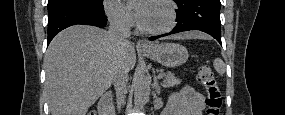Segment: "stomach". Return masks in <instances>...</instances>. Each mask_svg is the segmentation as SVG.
Segmentation results:
<instances>
[{"mask_svg":"<svg viewBox=\"0 0 285 115\" xmlns=\"http://www.w3.org/2000/svg\"><path fill=\"white\" fill-rule=\"evenodd\" d=\"M142 53L168 68L184 64L189 56L187 49L176 43L156 44L151 50H143Z\"/></svg>","mask_w":285,"mask_h":115,"instance_id":"1","label":"stomach"}]
</instances>
